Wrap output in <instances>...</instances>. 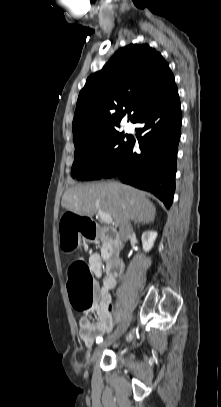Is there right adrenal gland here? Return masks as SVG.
Returning <instances> with one entry per match:
<instances>
[{
	"label": "right adrenal gland",
	"mask_w": 221,
	"mask_h": 407,
	"mask_svg": "<svg viewBox=\"0 0 221 407\" xmlns=\"http://www.w3.org/2000/svg\"><path fill=\"white\" fill-rule=\"evenodd\" d=\"M139 223H141V222H138V221H134V224L136 225V224H138L139 225Z\"/></svg>",
	"instance_id": "2a0ac1e0"
}]
</instances>
